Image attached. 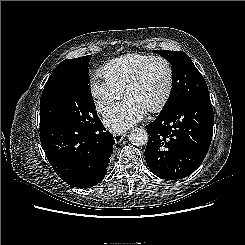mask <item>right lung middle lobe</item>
Segmentation results:
<instances>
[{
    "label": "right lung middle lobe",
    "instance_id": "dd1d6c3e",
    "mask_svg": "<svg viewBox=\"0 0 245 245\" xmlns=\"http://www.w3.org/2000/svg\"><path fill=\"white\" fill-rule=\"evenodd\" d=\"M91 55L66 59L51 73L40 99V124L90 127L97 113L89 91Z\"/></svg>",
    "mask_w": 245,
    "mask_h": 245
}]
</instances>
